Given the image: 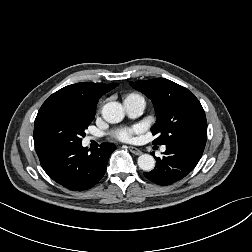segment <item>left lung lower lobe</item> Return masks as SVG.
<instances>
[{"mask_svg": "<svg viewBox=\"0 0 252 252\" xmlns=\"http://www.w3.org/2000/svg\"><path fill=\"white\" fill-rule=\"evenodd\" d=\"M205 145L194 141H180L166 145L162 158L155 157V168L144 176L158 185L173 184L189 174L199 162Z\"/></svg>", "mask_w": 252, "mask_h": 252, "instance_id": "0a47b994", "label": "left lung lower lobe"}]
</instances>
